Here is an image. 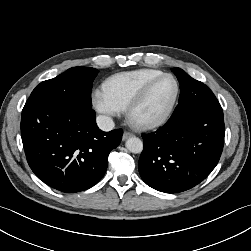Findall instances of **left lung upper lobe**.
I'll use <instances>...</instances> for the list:
<instances>
[{
  "label": "left lung upper lobe",
  "mask_w": 251,
  "mask_h": 251,
  "mask_svg": "<svg viewBox=\"0 0 251 251\" xmlns=\"http://www.w3.org/2000/svg\"><path fill=\"white\" fill-rule=\"evenodd\" d=\"M171 70L177 76V79L180 83V92L188 90L190 89V87L202 83L190 77L185 71L180 68H172Z\"/></svg>",
  "instance_id": "5c2ea615"
}]
</instances>
